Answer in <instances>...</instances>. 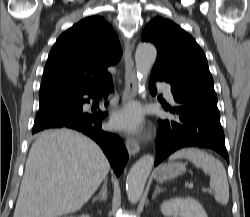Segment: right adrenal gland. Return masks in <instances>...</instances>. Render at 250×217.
Returning a JSON list of instances; mask_svg holds the SVG:
<instances>
[{
	"label": "right adrenal gland",
	"mask_w": 250,
	"mask_h": 217,
	"mask_svg": "<svg viewBox=\"0 0 250 217\" xmlns=\"http://www.w3.org/2000/svg\"><path fill=\"white\" fill-rule=\"evenodd\" d=\"M107 181H108V178H106L104 180V184H103L99 194L95 198H93V202L96 200H100V201L107 200Z\"/></svg>",
	"instance_id": "obj_1"
}]
</instances>
